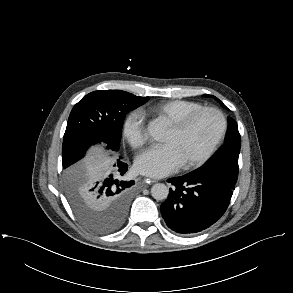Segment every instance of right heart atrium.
I'll use <instances>...</instances> for the list:
<instances>
[{"mask_svg": "<svg viewBox=\"0 0 293 293\" xmlns=\"http://www.w3.org/2000/svg\"><path fill=\"white\" fill-rule=\"evenodd\" d=\"M122 138L133 148L142 146L147 140L145 119L138 110L130 111L123 119Z\"/></svg>", "mask_w": 293, "mask_h": 293, "instance_id": "obj_1", "label": "right heart atrium"}]
</instances>
